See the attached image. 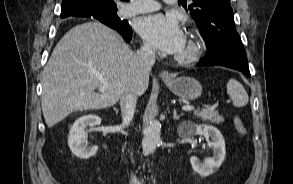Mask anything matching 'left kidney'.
<instances>
[{
  "label": "left kidney",
  "instance_id": "obj_1",
  "mask_svg": "<svg viewBox=\"0 0 293 184\" xmlns=\"http://www.w3.org/2000/svg\"><path fill=\"white\" fill-rule=\"evenodd\" d=\"M191 134L203 135L210 148L213 149V157L208 158L204 163H200L197 157H191L192 168L202 177L213 174L223 163L226 155L225 141L221 132L210 125H192ZM211 139V141H210Z\"/></svg>",
  "mask_w": 293,
  "mask_h": 184
}]
</instances>
